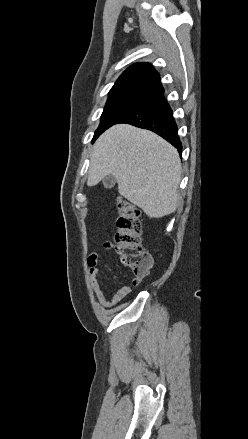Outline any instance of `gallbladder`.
Returning <instances> with one entry per match:
<instances>
[{"label": "gallbladder", "instance_id": "bac80fb5", "mask_svg": "<svg viewBox=\"0 0 248 439\" xmlns=\"http://www.w3.org/2000/svg\"><path fill=\"white\" fill-rule=\"evenodd\" d=\"M116 183V179L113 175H107L104 179H103V185L106 189H111L114 187Z\"/></svg>", "mask_w": 248, "mask_h": 439}]
</instances>
